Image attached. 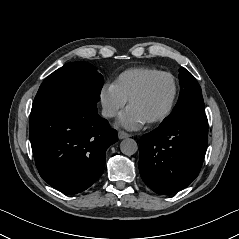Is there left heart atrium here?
Wrapping results in <instances>:
<instances>
[{"label":"left heart atrium","instance_id":"39dd6f15","mask_svg":"<svg viewBox=\"0 0 239 239\" xmlns=\"http://www.w3.org/2000/svg\"><path fill=\"white\" fill-rule=\"evenodd\" d=\"M146 120L132 107L128 106L119 116L118 124L128 130H135L144 125Z\"/></svg>","mask_w":239,"mask_h":239}]
</instances>
